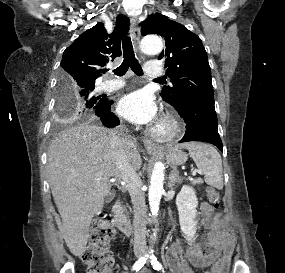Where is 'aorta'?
I'll return each mask as SVG.
<instances>
[{
    "instance_id": "obj_1",
    "label": "aorta",
    "mask_w": 285,
    "mask_h": 273,
    "mask_svg": "<svg viewBox=\"0 0 285 273\" xmlns=\"http://www.w3.org/2000/svg\"><path fill=\"white\" fill-rule=\"evenodd\" d=\"M163 42L158 36H146L141 41V50L145 54L155 55L162 51ZM164 184V165L161 162L155 164L149 186V205L152 215L156 216L159 211Z\"/></svg>"
}]
</instances>
